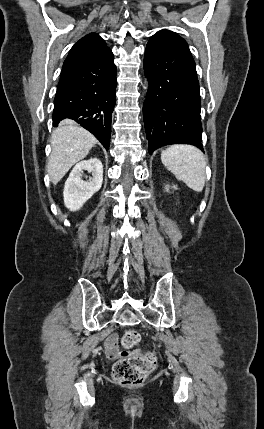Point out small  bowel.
Masks as SVG:
<instances>
[{
    "mask_svg": "<svg viewBox=\"0 0 264 429\" xmlns=\"http://www.w3.org/2000/svg\"><path fill=\"white\" fill-rule=\"evenodd\" d=\"M117 344L118 336L116 334L109 335L105 341L106 354L111 359H115L123 354L119 351Z\"/></svg>",
    "mask_w": 264,
    "mask_h": 429,
    "instance_id": "small-bowel-1",
    "label": "small bowel"
}]
</instances>
